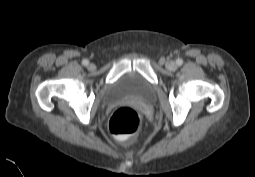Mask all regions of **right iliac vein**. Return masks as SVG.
I'll return each instance as SVG.
<instances>
[{
  "instance_id": "obj_1",
  "label": "right iliac vein",
  "mask_w": 255,
  "mask_h": 177,
  "mask_svg": "<svg viewBox=\"0 0 255 177\" xmlns=\"http://www.w3.org/2000/svg\"><path fill=\"white\" fill-rule=\"evenodd\" d=\"M95 68H96V66H95L94 63H90V64L88 65V69H89L90 71L95 70Z\"/></svg>"
}]
</instances>
